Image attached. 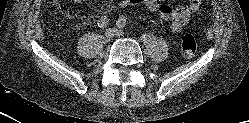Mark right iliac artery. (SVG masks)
<instances>
[{
    "instance_id": "82829eb1",
    "label": "right iliac artery",
    "mask_w": 249,
    "mask_h": 123,
    "mask_svg": "<svg viewBox=\"0 0 249 123\" xmlns=\"http://www.w3.org/2000/svg\"><path fill=\"white\" fill-rule=\"evenodd\" d=\"M97 24L100 28L107 27L109 24V19L106 16H103L98 20Z\"/></svg>"
}]
</instances>
